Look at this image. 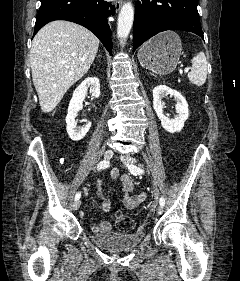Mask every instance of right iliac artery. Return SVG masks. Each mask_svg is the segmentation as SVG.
Segmentation results:
<instances>
[{
	"mask_svg": "<svg viewBox=\"0 0 240 281\" xmlns=\"http://www.w3.org/2000/svg\"><path fill=\"white\" fill-rule=\"evenodd\" d=\"M109 166V162L104 160V161H101L100 163H98L97 165V169L100 170V169H105ZM81 197V192H77L76 195H75V200H79Z\"/></svg>",
	"mask_w": 240,
	"mask_h": 281,
	"instance_id": "1",
	"label": "right iliac artery"
}]
</instances>
